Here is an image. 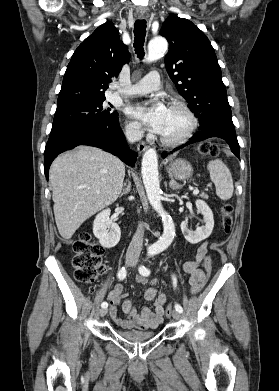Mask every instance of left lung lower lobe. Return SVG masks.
Returning a JSON list of instances; mask_svg holds the SVG:
<instances>
[{
    "label": "left lung lower lobe",
    "instance_id": "left-lung-lower-lobe-1",
    "mask_svg": "<svg viewBox=\"0 0 279 391\" xmlns=\"http://www.w3.org/2000/svg\"><path fill=\"white\" fill-rule=\"evenodd\" d=\"M211 137H219V138L224 139L229 144L232 152L240 159L239 144L237 141L235 130H231V129H228V128H225L222 126H218V125H209L203 129H201V131L195 133L193 135V137L186 144L181 145L178 148H175L173 150V152L177 151V150H179L189 144L199 142V141L205 140L207 138H211ZM167 155L168 154L166 152H164L162 154V157L165 158Z\"/></svg>",
    "mask_w": 279,
    "mask_h": 391
}]
</instances>
